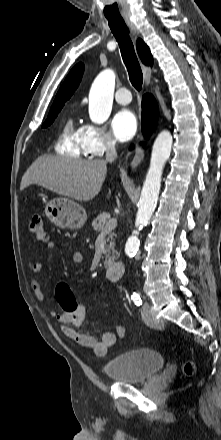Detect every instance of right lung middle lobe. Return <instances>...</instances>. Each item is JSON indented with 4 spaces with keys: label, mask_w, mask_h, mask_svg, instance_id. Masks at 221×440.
Listing matches in <instances>:
<instances>
[{
    "label": "right lung middle lobe",
    "mask_w": 221,
    "mask_h": 440,
    "mask_svg": "<svg viewBox=\"0 0 221 440\" xmlns=\"http://www.w3.org/2000/svg\"><path fill=\"white\" fill-rule=\"evenodd\" d=\"M61 109H62V106H59V107H55L52 110H50L48 118H47V120L45 121V123L43 124L42 127L49 126L54 121V119L57 117V115H58V113L60 112Z\"/></svg>",
    "instance_id": "1"
}]
</instances>
